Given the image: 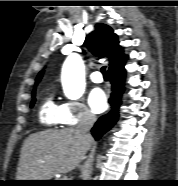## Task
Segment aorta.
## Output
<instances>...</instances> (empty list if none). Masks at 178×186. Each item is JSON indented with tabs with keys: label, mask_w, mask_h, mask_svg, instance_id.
<instances>
[{
	"label": "aorta",
	"mask_w": 178,
	"mask_h": 186,
	"mask_svg": "<svg viewBox=\"0 0 178 186\" xmlns=\"http://www.w3.org/2000/svg\"><path fill=\"white\" fill-rule=\"evenodd\" d=\"M61 81L65 96L79 99L85 90L84 63L78 54L69 55L62 67Z\"/></svg>",
	"instance_id": "762f6f07"
}]
</instances>
